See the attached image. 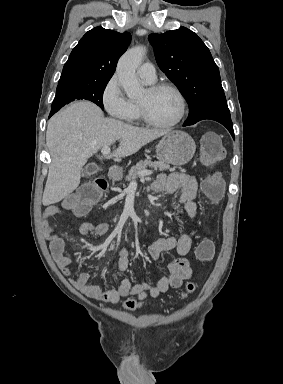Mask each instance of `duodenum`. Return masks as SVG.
<instances>
[{
	"mask_svg": "<svg viewBox=\"0 0 283 384\" xmlns=\"http://www.w3.org/2000/svg\"><path fill=\"white\" fill-rule=\"evenodd\" d=\"M110 172H111L112 180L118 181L120 179V177H121L122 169L119 168L118 166H112L110 168Z\"/></svg>",
	"mask_w": 283,
	"mask_h": 384,
	"instance_id": "duodenum-1",
	"label": "duodenum"
}]
</instances>
